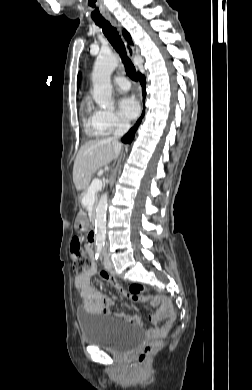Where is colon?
<instances>
[{
  "label": "colon",
  "mask_w": 252,
  "mask_h": 390,
  "mask_svg": "<svg viewBox=\"0 0 252 390\" xmlns=\"http://www.w3.org/2000/svg\"><path fill=\"white\" fill-rule=\"evenodd\" d=\"M88 238L90 239L89 235ZM70 252L73 262V270L75 273H82L92 266V252L91 250L82 244V241L78 237H74L70 243ZM115 286V285H113ZM120 290H124L119 287ZM144 287L140 284L130 285L128 291L124 290L128 295H137L144 291ZM161 343L159 341L149 343L145 345L139 352L138 359L141 363H146L151 356L160 348Z\"/></svg>",
  "instance_id": "colon-1"
}]
</instances>
